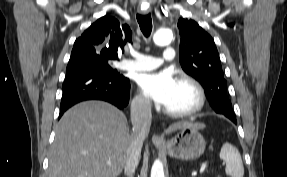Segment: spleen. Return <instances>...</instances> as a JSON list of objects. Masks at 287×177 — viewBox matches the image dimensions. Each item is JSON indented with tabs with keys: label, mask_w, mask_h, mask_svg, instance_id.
<instances>
[{
	"label": "spleen",
	"mask_w": 287,
	"mask_h": 177,
	"mask_svg": "<svg viewBox=\"0 0 287 177\" xmlns=\"http://www.w3.org/2000/svg\"><path fill=\"white\" fill-rule=\"evenodd\" d=\"M220 158L226 163L225 172L231 177H243L244 167L241 155L236 147L226 142L223 144L219 154Z\"/></svg>",
	"instance_id": "1"
}]
</instances>
